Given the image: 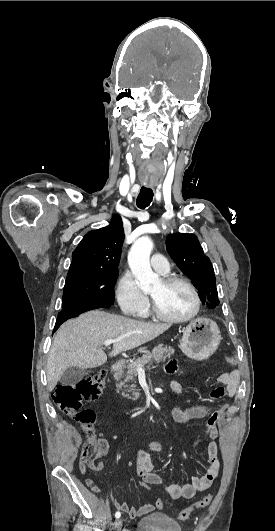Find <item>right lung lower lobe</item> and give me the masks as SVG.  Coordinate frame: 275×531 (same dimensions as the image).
<instances>
[{
	"mask_svg": "<svg viewBox=\"0 0 275 531\" xmlns=\"http://www.w3.org/2000/svg\"><path fill=\"white\" fill-rule=\"evenodd\" d=\"M98 308H102V307L98 305H88V304H82V303L63 304L62 310L58 314L53 332H55L59 328V326L66 320L73 318V317H77L86 311H90V310L98 309Z\"/></svg>",
	"mask_w": 275,
	"mask_h": 531,
	"instance_id": "obj_1",
	"label": "right lung lower lobe"
}]
</instances>
